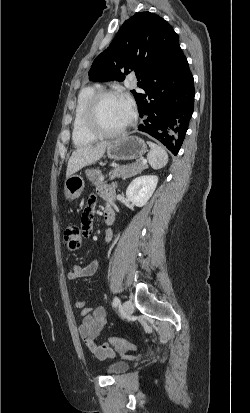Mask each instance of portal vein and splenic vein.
Instances as JSON below:
<instances>
[{"label": "portal vein and splenic vein", "mask_w": 250, "mask_h": 413, "mask_svg": "<svg viewBox=\"0 0 250 413\" xmlns=\"http://www.w3.org/2000/svg\"><path fill=\"white\" fill-rule=\"evenodd\" d=\"M124 173H125V172L115 173V174H113V175L110 177V179L112 180V179H114L115 176H118V175L124 174Z\"/></svg>", "instance_id": "portal-vein-and-splenic-vein-1"}]
</instances>
